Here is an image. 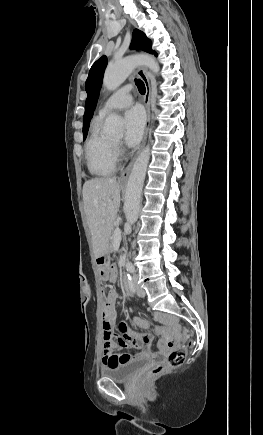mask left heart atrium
Returning a JSON list of instances; mask_svg holds the SVG:
<instances>
[{"label": "left heart atrium", "mask_w": 263, "mask_h": 435, "mask_svg": "<svg viewBox=\"0 0 263 435\" xmlns=\"http://www.w3.org/2000/svg\"><path fill=\"white\" fill-rule=\"evenodd\" d=\"M145 118L142 110L133 107L125 114V144L129 147L136 146L142 138Z\"/></svg>", "instance_id": "left-heart-atrium-1"}]
</instances>
